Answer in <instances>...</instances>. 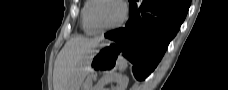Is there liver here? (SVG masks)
I'll return each instance as SVG.
<instances>
[{
    "mask_svg": "<svg viewBox=\"0 0 228 90\" xmlns=\"http://www.w3.org/2000/svg\"><path fill=\"white\" fill-rule=\"evenodd\" d=\"M102 40L103 37L74 36L66 42L55 61L53 72L54 90H66L76 66Z\"/></svg>",
    "mask_w": 228,
    "mask_h": 90,
    "instance_id": "liver-1",
    "label": "liver"
}]
</instances>
